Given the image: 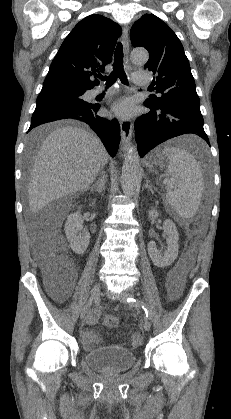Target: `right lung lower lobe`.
Returning a JSON list of instances; mask_svg holds the SVG:
<instances>
[{"label":"right lung lower lobe","mask_w":231,"mask_h":419,"mask_svg":"<svg viewBox=\"0 0 231 419\" xmlns=\"http://www.w3.org/2000/svg\"><path fill=\"white\" fill-rule=\"evenodd\" d=\"M100 105L68 101L37 103L28 132L39 124L60 120L75 119L84 121L99 136L109 154L114 157L120 143V126L117 120L109 121L96 113Z\"/></svg>","instance_id":"right-lung-lower-lobe-1"}]
</instances>
